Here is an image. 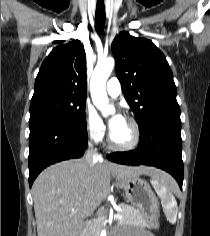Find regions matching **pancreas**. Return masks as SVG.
I'll return each instance as SVG.
<instances>
[{"label":"pancreas","instance_id":"obj_1","mask_svg":"<svg viewBox=\"0 0 210 236\" xmlns=\"http://www.w3.org/2000/svg\"><path fill=\"white\" fill-rule=\"evenodd\" d=\"M119 207L124 210L122 212H119L121 215H123V218L118 220L119 225H135L139 227L148 226L143 215L131 205L121 203ZM103 224H104V220L102 218H99L97 221L96 228H95L96 233L100 231Z\"/></svg>","mask_w":210,"mask_h":236}]
</instances>
